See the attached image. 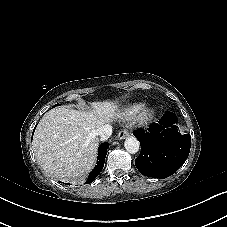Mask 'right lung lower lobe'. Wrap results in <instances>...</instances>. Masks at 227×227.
<instances>
[{
    "instance_id": "1",
    "label": "right lung lower lobe",
    "mask_w": 227,
    "mask_h": 227,
    "mask_svg": "<svg viewBox=\"0 0 227 227\" xmlns=\"http://www.w3.org/2000/svg\"><path fill=\"white\" fill-rule=\"evenodd\" d=\"M35 129V128H34ZM34 133V131H33ZM33 136V134H32ZM109 147V143L105 142L101 144V146L98 149V159H97V165L93 169V171L90 173L88 176L87 182L86 183H91L94 181V179L99 175V173L102 171L104 162H105V157L107 154V149Z\"/></svg>"
}]
</instances>
